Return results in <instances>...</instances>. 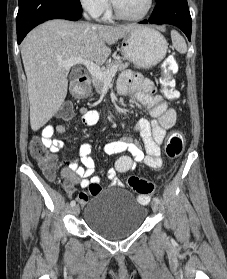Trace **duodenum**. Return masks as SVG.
I'll return each mask as SVG.
<instances>
[{
	"label": "duodenum",
	"mask_w": 227,
	"mask_h": 279,
	"mask_svg": "<svg viewBox=\"0 0 227 279\" xmlns=\"http://www.w3.org/2000/svg\"><path fill=\"white\" fill-rule=\"evenodd\" d=\"M87 82L86 78L80 77L76 80L72 87V95L75 98H83L86 92Z\"/></svg>",
	"instance_id": "410a0bca"
}]
</instances>
